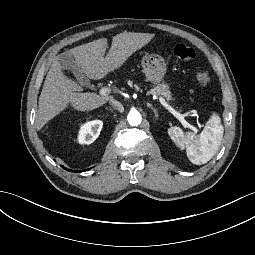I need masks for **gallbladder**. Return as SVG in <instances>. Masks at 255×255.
Masks as SVG:
<instances>
[{
	"instance_id": "gallbladder-1",
	"label": "gallbladder",
	"mask_w": 255,
	"mask_h": 255,
	"mask_svg": "<svg viewBox=\"0 0 255 255\" xmlns=\"http://www.w3.org/2000/svg\"><path fill=\"white\" fill-rule=\"evenodd\" d=\"M57 59L63 69L70 71L80 84L84 85L86 88L89 87L90 81L84 77L82 69L77 65L76 61L69 53H61L57 56Z\"/></svg>"
}]
</instances>
